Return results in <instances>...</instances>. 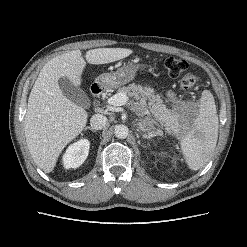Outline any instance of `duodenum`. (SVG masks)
Wrapping results in <instances>:
<instances>
[{
	"mask_svg": "<svg viewBox=\"0 0 247 247\" xmlns=\"http://www.w3.org/2000/svg\"><path fill=\"white\" fill-rule=\"evenodd\" d=\"M102 92H103V87L101 85L93 84L91 86V93L95 98L99 97L102 94Z\"/></svg>",
	"mask_w": 247,
	"mask_h": 247,
	"instance_id": "1",
	"label": "duodenum"
}]
</instances>
